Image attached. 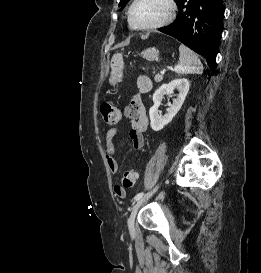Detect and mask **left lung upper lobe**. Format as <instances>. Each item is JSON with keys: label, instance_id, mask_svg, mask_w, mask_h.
<instances>
[{"label": "left lung upper lobe", "instance_id": "1", "mask_svg": "<svg viewBox=\"0 0 261 273\" xmlns=\"http://www.w3.org/2000/svg\"><path fill=\"white\" fill-rule=\"evenodd\" d=\"M128 1H129V0H121L120 3H119V5H120V6H123V5H125ZM177 1H178V0H175V2H177Z\"/></svg>", "mask_w": 261, "mask_h": 273}]
</instances>
